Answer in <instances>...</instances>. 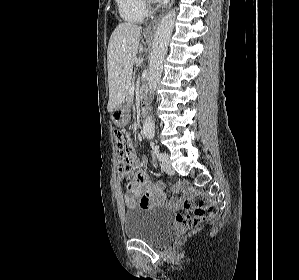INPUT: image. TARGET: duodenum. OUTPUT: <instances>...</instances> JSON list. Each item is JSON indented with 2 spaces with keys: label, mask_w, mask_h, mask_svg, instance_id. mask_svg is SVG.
<instances>
[{
  "label": "duodenum",
  "mask_w": 299,
  "mask_h": 280,
  "mask_svg": "<svg viewBox=\"0 0 299 280\" xmlns=\"http://www.w3.org/2000/svg\"><path fill=\"white\" fill-rule=\"evenodd\" d=\"M140 107H141V111H142V113H146V111H147V102H146V100H145V98H142L141 100H140Z\"/></svg>",
  "instance_id": "1"
}]
</instances>
